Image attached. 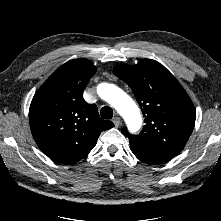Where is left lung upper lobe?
<instances>
[{
	"label": "left lung upper lobe",
	"instance_id": "1",
	"mask_svg": "<svg viewBox=\"0 0 221 221\" xmlns=\"http://www.w3.org/2000/svg\"><path fill=\"white\" fill-rule=\"evenodd\" d=\"M113 72L131 87L145 118L139 135H131L127 128L122 134L157 153L175 157L189 139L196 118L195 107L180 83L152 59L134 66L121 64Z\"/></svg>",
	"mask_w": 221,
	"mask_h": 221
}]
</instances>
